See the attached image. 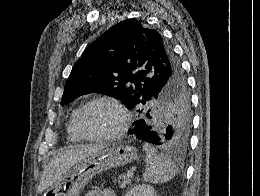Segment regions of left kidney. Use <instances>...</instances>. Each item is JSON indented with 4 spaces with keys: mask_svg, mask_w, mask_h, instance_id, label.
<instances>
[{
    "mask_svg": "<svg viewBox=\"0 0 260 196\" xmlns=\"http://www.w3.org/2000/svg\"><path fill=\"white\" fill-rule=\"evenodd\" d=\"M125 196H157L156 190L153 186H146V184H139V186H134L126 192Z\"/></svg>",
    "mask_w": 260,
    "mask_h": 196,
    "instance_id": "5707ae66",
    "label": "left kidney"
}]
</instances>
